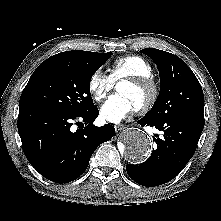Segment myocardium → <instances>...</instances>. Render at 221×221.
Wrapping results in <instances>:
<instances>
[{
    "label": "myocardium",
    "mask_w": 221,
    "mask_h": 221,
    "mask_svg": "<svg viewBox=\"0 0 221 221\" xmlns=\"http://www.w3.org/2000/svg\"><path fill=\"white\" fill-rule=\"evenodd\" d=\"M122 82L133 86L147 88L150 91L148 99L136 108L139 113L148 112L157 102L159 97V86L151 76H136L124 78Z\"/></svg>",
    "instance_id": "myocardium-1"
}]
</instances>
